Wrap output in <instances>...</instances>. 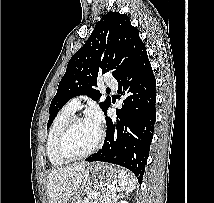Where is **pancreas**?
I'll use <instances>...</instances> for the list:
<instances>
[{"label": "pancreas", "instance_id": "pancreas-1", "mask_svg": "<svg viewBox=\"0 0 214 203\" xmlns=\"http://www.w3.org/2000/svg\"><path fill=\"white\" fill-rule=\"evenodd\" d=\"M100 196L99 203H112L113 197L111 190L103 192L101 195L99 193L88 194L87 197L78 199L75 203H97L95 199Z\"/></svg>", "mask_w": 214, "mask_h": 203}]
</instances>
